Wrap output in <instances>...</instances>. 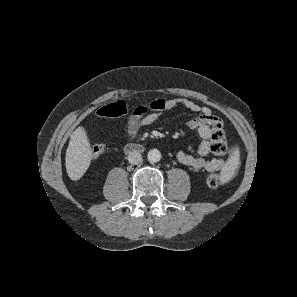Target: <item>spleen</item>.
<instances>
[{
    "label": "spleen",
    "instance_id": "3e777b00",
    "mask_svg": "<svg viewBox=\"0 0 297 297\" xmlns=\"http://www.w3.org/2000/svg\"><path fill=\"white\" fill-rule=\"evenodd\" d=\"M238 164H239V150H238V148H236L233 151L231 157L228 159L226 168L228 171H232L237 167Z\"/></svg>",
    "mask_w": 297,
    "mask_h": 297
}]
</instances>
